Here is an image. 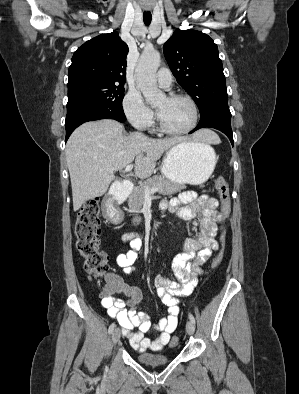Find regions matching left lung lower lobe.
Listing matches in <instances>:
<instances>
[{"label": "left lung lower lobe", "mask_w": 299, "mask_h": 394, "mask_svg": "<svg viewBox=\"0 0 299 394\" xmlns=\"http://www.w3.org/2000/svg\"><path fill=\"white\" fill-rule=\"evenodd\" d=\"M206 127L215 128L226 134L233 146L234 141L231 129V113L228 105L214 107L208 113L201 116L200 122L190 133Z\"/></svg>", "instance_id": "left-lung-lower-lobe-1"}]
</instances>
